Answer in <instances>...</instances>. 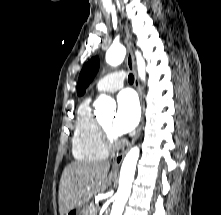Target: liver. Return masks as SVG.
I'll use <instances>...</instances> for the list:
<instances>
[{
    "mask_svg": "<svg viewBox=\"0 0 221 215\" xmlns=\"http://www.w3.org/2000/svg\"><path fill=\"white\" fill-rule=\"evenodd\" d=\"M108 162H74L63 171L59 185L60 215L84 207L91 197L111 185Z\"/></svg>",
    "mask_w": 221,
    "mask_h": 215,
    "instance_id": "obj_1",
    "label": "liver"
}]
</instances>
